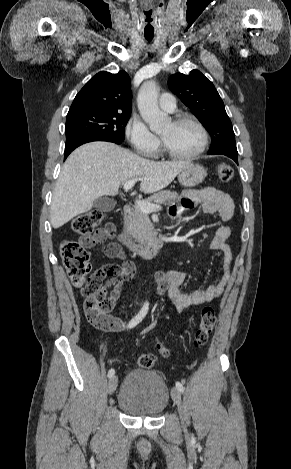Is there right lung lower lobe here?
Segmentation results:
<instances>
[{
    "instance_id": "right-lung-lower-lobe-1",
    "label": "right lung lower lobe",
    "mask_w": 291,
    "mask_h": 469,
    "mask_svg": "<svg viewBox=\"0 0 291 469\" xmlns=\"http://www.w3.org/2000/svg\"><path fill=\"white\" fill-rule=\"evenodd\" d=\"M92 141H108V142H113L116 144H121L123 141L114 139V138H109V137H100V136H89V137H74L70 139H66V144H65V152H64V160L68 157V155L78 146L92 142Z\"/></svg>"
}]
</instances>
